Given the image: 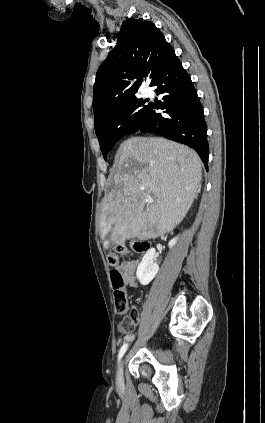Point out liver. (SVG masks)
<instances>
[{
    "instance_id": "6515ba94",
    "label": "liver",
    "mask_w": 265,
    "mask_h": 423,
    "mask_svg": "<svg viewBox=\"0 0 265 423\" xmlns=\"http://www.w3.org/2000/svg\"><path fill=\"white\" fill-rule=\"evenodd\" d=\"M202 161L191 148L164 138L131 137L113 165L114 189L103 198L101 238H156L173 230L201 190ZM154 203L146 206L147 196Z\"/></svg>"
}]
</instances>
